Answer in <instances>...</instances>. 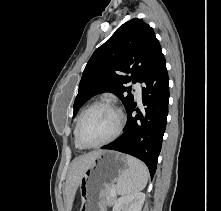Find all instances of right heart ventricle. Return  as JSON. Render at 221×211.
<instances>
[{
  "label": "right heart ventricle",
  "instance_id": "1",
  "mask_svg": "<svg viewBox=\"0 0 221 211\" xmlns=\"http://www.w3.org/2000/svg\"><path fill=\"white\" fill-rule=\"evenodd\" d=\"M79 117H80V116H79ZM79 117H78V120H79ZM78 120H77L76 125H75V128H74V143H75V146H76L78 149H83V147L80 146V144L78 143V141H77V139H76V129H77Z\"/></svg>",
  "mask_w": 221,
  "mask_h": 211
}]
</instances>
